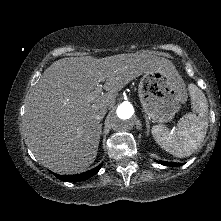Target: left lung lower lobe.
Returning <instances> with one entry per match:
<instances>
[{"label":"left lung lower lobe","instance_id":"1","mask_svg":"<svg viewBox=\"0 0 221 221\" xmlns=\"http://www.w3.org/2000/svg\"><path fill=\"white\" fill-rule=\"evenodd\" d=\"M159 164H162L164 166H180L182 163H173V162H165V161H156Z\"/></svg>","mask_w":221,"mask_h":221}]
</instances>
